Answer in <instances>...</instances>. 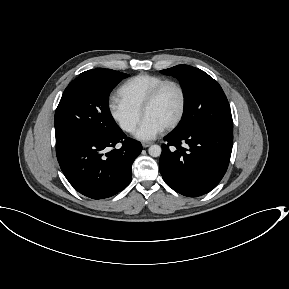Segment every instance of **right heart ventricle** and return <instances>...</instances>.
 Listing matches in <instances>:
<instances>
[{"instance_id": "obj_1", "label": "right heart ventricle", "mask_w": 289, "mask_h": 289, "mask_svg": "<svg viewBox=\"0 0 289 289\" xmlns=\"http://www.w3.org/2000/svg\"><path fill=\"white\" fill-rule=\"evenodd\" d=\"M165 78L142 73L125 81L117 90V96L127 106L140 111L150 91Z\"/></svg>"}]
</instances>
